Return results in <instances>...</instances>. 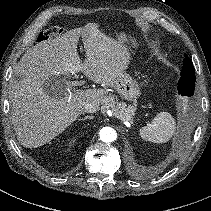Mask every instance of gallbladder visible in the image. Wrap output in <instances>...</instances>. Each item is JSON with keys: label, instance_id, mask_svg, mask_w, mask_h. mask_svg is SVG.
<instances>
[{"label": "gallbladder", "instance_id": "gallbladder-1", "mask_svg": "<svg viewBox=\"0 0 211 211\" xmlns=\"http://www.w3.org/2000/svg\"><path fill=\"white\" fill-rule=\"evenodd\" d=\"M56 82L64 84L63 79L60 76H50L44 85L45 91L53 97H58L60 95V92L56 91L54 87Z\"/></svg>", "mask_w": 211, "mask_h": 211}]
</instances>
